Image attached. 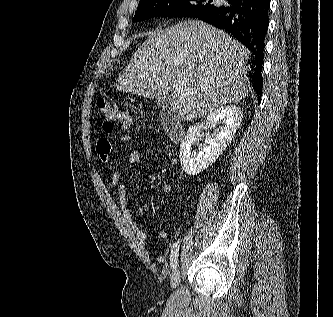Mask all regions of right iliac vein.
I'll list each match as a JSON object with an SVG mask.
<instances>
[{"instance_id":"right-iliac-vein-1","label":"right iliac vein","mask_w":333,"mask_h":317,"mask_svg":"<svg viewBox=\"0 0 333 317\" xmlns=\"http://www.w3.org/2000/svg\"><path fill=\"white\" fill-rule=\"evenodd\" d=\"M180 282V271L179 268H175L171 276V287L176 288Z\"/></svg>"}]
</instances>
